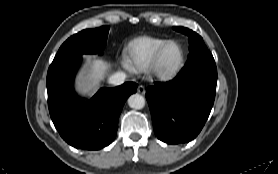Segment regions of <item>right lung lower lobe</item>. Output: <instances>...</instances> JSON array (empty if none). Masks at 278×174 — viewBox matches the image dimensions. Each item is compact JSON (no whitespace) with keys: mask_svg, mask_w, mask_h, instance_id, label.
Returning <instances> with one entry per match:
<instances>
[{"mask_svg":"<svg viewBox=\"0 0 278 174\" xmlns=\"http://www.w3.org/2000/svg\"><path fill=\"white\" fill-rule=\"evenodd\" d=\"M80 63L81 56H73L50 65L48 107L54 126L68 144L97 150L114 140L124 103L137 91V84L126 82L116 88H102L91 99L83 101L73 90Z\"/></svg>","mask_w":278,"mask_h":174,"instance_id":"obj_1","label":"right lung lower lobe"}]
</instances>
